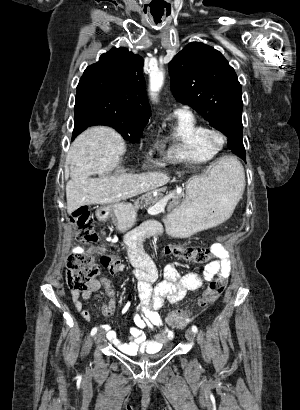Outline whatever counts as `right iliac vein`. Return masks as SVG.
<instances>
[{"instance_id": "63e3f726", "label": "right iliac vein", "mask_w": 300, "mask_h": 410, "mask_svg": "<svg viewBox=\"0 0 300 410\" xmlns=\"http://www.w3.org/2000/svg\"><path fill=\"white\" fill-rule=\"evenodd\" d=\"M103 337H104L103 331L97 332L94 336V342L100 343L103 340Z\"/></svg>"}]
</instances>
